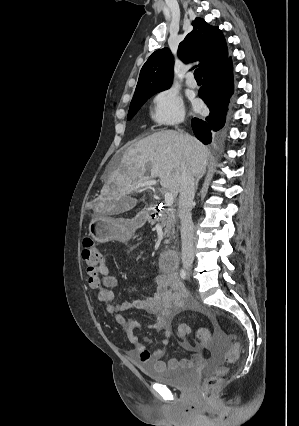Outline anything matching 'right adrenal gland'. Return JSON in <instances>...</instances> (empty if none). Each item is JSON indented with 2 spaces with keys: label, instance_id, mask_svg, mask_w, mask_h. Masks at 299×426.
I'll return each instance as SVG.
<instances>
[{
  "label": "right adrenal gland",
  "instance_id": "obj_1",
  "mask_svg": "<svg viewBox=\"0 0 299 426\" xmlns=\"http://www.w3.org/2000/svg\"><path fill=\"white\" fill-rule=\"evenodd\" d=\"M201 178H202L201 176H197L196 179H195V190L196 191L198 189V184H199V181H200Z\"/></svg>",
  "mask_w": 299,
  "mask_h": 426
}]
</instances>
